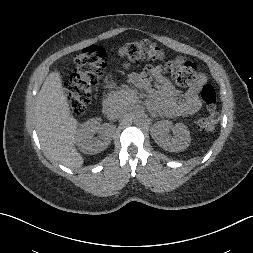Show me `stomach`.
<instances>
[{
  "label": "stomach",
  "mask_w": 253,
  "mask_h": 253,
  "mask_svg": "<svg viewBox=\"0 0 253 253\" xmlns=\"http://www.w3.org/2000/svg\"><path fill=\"white\" fill-rule=\"evenodd\" d=\"M123 69L128 70L131 68V64L129 62H124L122 64Z\"/></svg>",
  "instance_id": "0dacf381"
}]
</instances>
